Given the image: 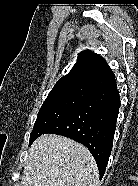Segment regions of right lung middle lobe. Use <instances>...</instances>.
I'll use <instances>...</instances> for the list:
<instances>
[{
    "label": "right lung middle lobe",
    "mask_w": 138,
    "mask_h": 186,
    "mask_svg": "<svg viewBox=\"0 0 138 186\" xmlns=\"http://www.w3.org/2000/svg\"><path fill=\"white\" fill-rule=\"evenodd\" d=\"M91 93V89L78 86L52 90L39 110L29 145L55 123L86 103Z\"/></svg>",
    "instance_id": "right-lung-middle-lobe-1"
}]
</instances>
